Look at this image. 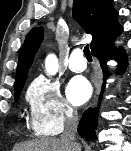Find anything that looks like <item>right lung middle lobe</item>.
<instances>
[{
  "mask_svg": "<svg viewBox=\"0 0 131 151\" xmlns=\"http://www.w3.org/2000/svg\"><path fill=\"white\" fill-rule=\"evenodd\" d=\"M22 88H23V87L14 90V100H15V102H17V100H18V98H19V96H20V93H21V91H22Z\"/></svg>",
  "mask_w": 131,
  "mask_h": 151,
  "instance_id": "dd1d6c3e",
  "label": "right lung middle lobe"
}]
</instances>
